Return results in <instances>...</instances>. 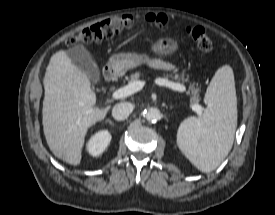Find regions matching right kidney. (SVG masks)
I'll list each match as a JSON object with an SVG mask.
<instances>
[{"instance_id": "ca27d5eb", "label": "right kidney", "mask_w": 275, "mask_h": 215, "mask_svg": "<svg viewBox=\"0 0 275 215\" xmlns=\"http://www.w3.org/2000/svg\"><path fill=\"white\" fill-rule=\"evenodd\" d=\"M111 141V134L102 130L94 134L87 143V151L92 156H99L107 148Z\"/></svg>"}]
</instances>
